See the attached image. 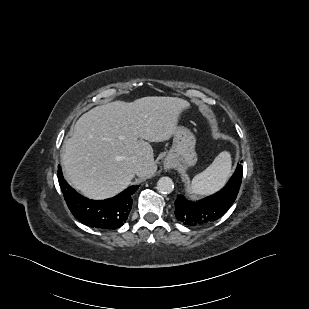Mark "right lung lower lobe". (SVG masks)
Wrapping results in <instances>:
<instances>
[{
  "label": "right lung lower lobe",
  "mask_w": 309,
  "mask_h": 309,
  "mask_svg": "<svg viewBox=\"0 0 309 309\" xmlns=\"http://www.w3.org/2000/svg\"><path fill=\"white\" fill-rule=\"evenodd\" d=\"M58 180L74 217L87 226L100 229H117L126 222L133 203L132 195L139 187L131 186L113 198L94 201L81 196L68 185L60 166Z\"/></svg>",
  "instance_id": "1"
}]
</instances>
